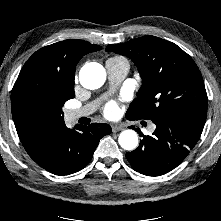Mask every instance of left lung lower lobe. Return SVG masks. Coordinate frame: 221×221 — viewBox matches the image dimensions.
<instances>
[{"instance_id":"1","label":"left lung lower lobe","mask_w":221,"mask_h":221,"mask_svg":"<svg viewBox=\"0 0 221 221\" xmlns=\"http://www.w3.org/2000/svg\"><path fill=\"white\" fill-rule=\"evenodd\" d=\"M134 119V118H128ZM156 129L152 136L143 135L139 147L126 158L132 168L147 176H160L176 168L196 145L204 124L193 119L153 121Z\"/></svg>"}]
</instances>
